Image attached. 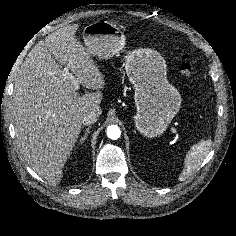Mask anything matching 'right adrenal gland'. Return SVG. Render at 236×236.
<instances>
[{
  "label": "right adrenal gland",
  "instance_id": "2a0ac1e0",
  "mask_svg": "<svg viewBox=\"0 0 236 236\" xmlns=\"http://www.w3.org/2000/svg\"><path fill=\"white\" fill-rule=\"evenodd\" d=\"M90 129H91V126H89V127L86 129V131H85L83 137L80 138L79 141H80L81 144L84 143V141L87 139V136H88V134L90 133Z\"/></svg>",
  "mask_w": 236,
  "mask_h": 236
}]
</instances>
